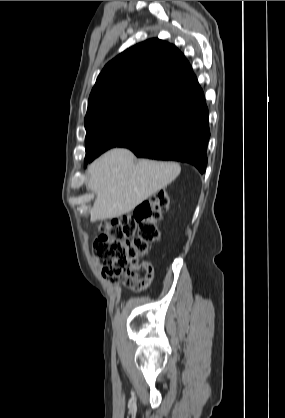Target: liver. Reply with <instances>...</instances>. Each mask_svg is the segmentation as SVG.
Masks as SVG:
<instances>
[{
  "instance_id": "liver-1",
  "label": "liver",
  "mask_w": 285,
  "mask_h": 418,
  "mask_svg": "<svg viewBox=\"0 0 285 418\" xmlns=\"http://www.w3.org/2000/svg\"><path fill=\"white\" fill-rule=\"evenodd\" d=\"M174 162L141 159L127 149L115 148L88 167L87 188L96 195L91 221L112 219L131 212L180 173Z\"/></svg>"
}]
</instances>
